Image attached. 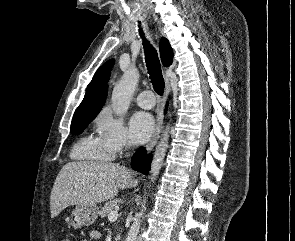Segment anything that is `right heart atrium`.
Masks as SVG:
<instances>
[{"instance_id":"d8ad5b80","label":"right heart atrium","mask_w":295,"mask_h":241,"mask_svg":"<svg viewBox=\"0 0 295 241\" xmlns=\"http://www.w3.org/2000/svg\"><path fill=\"white\" fill-rule=\"evenodd\" d=\"M94 124L100 141L112 157L130 147L131 141L123 120L114 116L110 109H102Z\"/></svg>"}]
</instances>
